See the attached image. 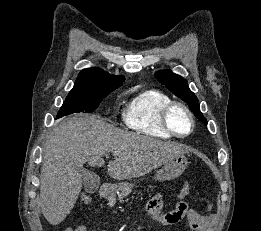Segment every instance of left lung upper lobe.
Here are the masks:
<instances>
[{
    "label": "left lung upper lobe",
    "mask_w": 261,
    "mask_h": 231,
    "mask_svg": "<svg viewBox=\"0 0 261 231\" xmlns=\"http://www.w3.org/2000/svg\"><path fill=\"white\" fill-rule=\"evenodd\" d=\"M155 76L158 81L164 84L173 94L185 101L194 115L207 125V120L200 112L198 99L189 89L185 79L172 73L170 70L157 71Z\"/></svg>",
    "instance_id": "left-lung-upper-lobe-1"
}]
</instances>
